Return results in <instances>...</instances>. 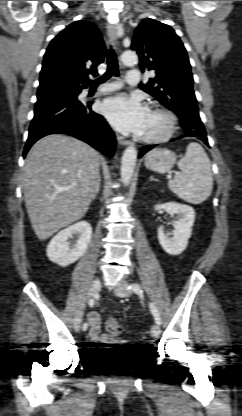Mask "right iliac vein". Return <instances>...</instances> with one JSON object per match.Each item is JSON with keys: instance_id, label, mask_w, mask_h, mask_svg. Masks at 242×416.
Listing matches in <instances>:
<instances>
[{"instance_id": "obj_1", "label": "right iliac vein", "mask_w": 242, "mask_h": 416, "mask_svg": "<svg viewBox=\"0 0 242 416\" xmlns=\"http://www.w3.org/2000/svg\"><path fill=\"white\" fill-rule=\"evenodd\" d=\"M101 288V281L99 278H95L92 283L90 284L89 291H88V297L95 296ZM82 316H83V306L78 310L75 316L74 320V328L76 331H79L80 325L82 322Z\"/></svg>"}]
</instances>
